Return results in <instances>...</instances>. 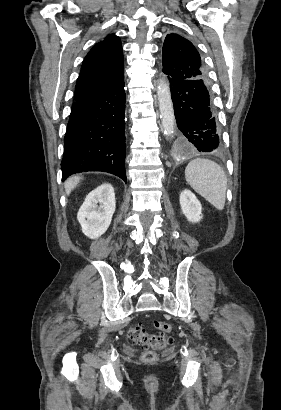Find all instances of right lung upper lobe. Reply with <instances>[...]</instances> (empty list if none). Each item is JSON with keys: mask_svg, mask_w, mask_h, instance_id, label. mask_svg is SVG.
I'll list each match as a JSON object with an SVG mask.
<instances>
[{"mask_svg": "<svg viewBox=\"0 0 281 410\" xmlns=\"http://www.w3.org/2000/svg\"><path fill=\"white\" fill-rule=\"evenodd\" d=\"M124 82L120 39L110 34L86 55L76 82L74 100H82L111 90Z\"/></svg>", "mask_w": 281, "mask_h": 410, "instance_id": "right-lung-upper-lobe-1", "label": "right lung upper lobe"}]
</instances>
